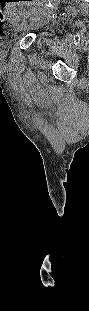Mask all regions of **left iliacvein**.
<instances>
[{
  "instance_id": "1",
  "label": "left iliac vein",
  "mask_w": 89,
  "mask_h": 311,
  "mask_svg": "<svg viewBox=\"0 0 89 311\" xmlns=\"http://www.w3.org/2000/svg\"><path fill=\"white\" fill-rule=\"evenodd\" d=\"M53 2H54V6H55V5H56V3H55V2H56V0H53Z\"/></svg>"
}]
</instances>
